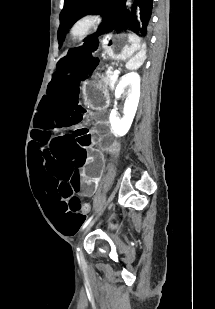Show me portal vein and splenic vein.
Returning a JSON list of instances; mask_svg holds the SVG:
<instances>
[{
    "label": "portal vein and splenic vein",
    "instance_id": "18ae733b",
    "mask_svg": "<svg viewBox=\"0 0 215 309\" xmlns=\"http://www.w3.org/2000/svg\"><path fill=\"white\" fill-rule=\"evenodd\" d=\"M120 70H113V76H111L112 80H116Z\"/></svg>",
    "mask_w": 215,
    "mask_h": 309
}]
</instances>
